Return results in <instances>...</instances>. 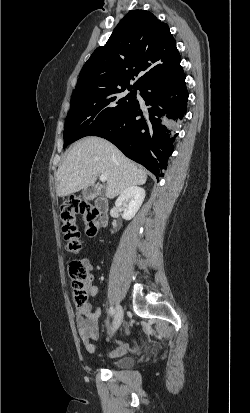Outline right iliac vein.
<instances>
[{
    "instance_id": "obj_1",
    "label": "right iliac vein",
    "mask_w": 250,
    "mask_h": 413,
    "mask_svg": "<svg viewBox=\"0 0 250 413\" xmlns=\"http://www.w3.org/2000/svg\"><path fill=\"white\" fill-rule=\"evenodd\" d=\"M123 309L120 305L116 306L115 309V316H114V321H113V331H116L117 328L121 325L122 320H123Z\"/></svg>"
}]
</instances>
